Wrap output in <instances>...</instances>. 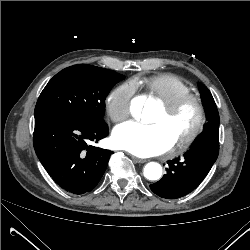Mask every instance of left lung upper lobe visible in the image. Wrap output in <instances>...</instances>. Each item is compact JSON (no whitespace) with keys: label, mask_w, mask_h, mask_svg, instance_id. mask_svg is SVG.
Instances as JSON below:
<instances>
[{"label":"left lung upper lobe","mask_w":250,"mask_h":250,"mask_svg":"<svg viewBox=\"0 0 250 250\" xmlns=\"http://www.w3.org/2000/svg\"><path fill=\"white\" fill-rule=\"evenodd\" d=\"M200 94L204 109L206 111L208 122L204 127V131L218 130L219 128V114L216 108L215 101L210 93V91L205 87L200 85Z\"/></svg>","instance_id":"obj_1"}]
</instances>
